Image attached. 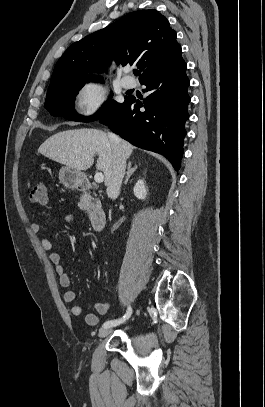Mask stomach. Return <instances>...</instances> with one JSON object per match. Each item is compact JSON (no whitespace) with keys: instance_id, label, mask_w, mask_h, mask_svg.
Masks as SVG:
<instances>
[{"instance_id":"obj_1","label":"stomach","mask_w":265,"mask_h":407,"mask_svg":"<svg viewBox=\"0 0 265 407\" xmlns=\"http://www.w3.org/2000/svg\"><path fill=\"white\" fill-rule=\"evenodd\" d=\"M59 179L66 188L77 189L84 183L86 176L81 171L65 166L59 171Z\"/></svg>"}]
</instances>
